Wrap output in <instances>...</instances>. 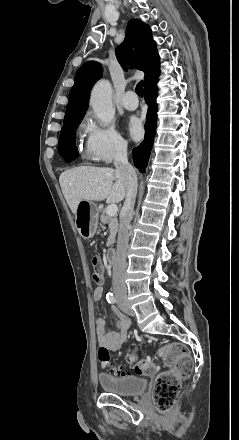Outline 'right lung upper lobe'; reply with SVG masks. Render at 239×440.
<instances>
[{
    "instance_id": "1",
    "label": "right lung upper lobe",
    "mask_w": 239,
    "mask_h": 440,
    "mask_svg": "<svg viewBox=\"0 0 239 440\" xmlns=\"http://www.w3.org/2000/svg\"><path fill=\"white\" fill-rule=\"evenodd\" d=\"M116 56L124 68L128 64L130 68L142 70L145 73L144 82L159 71L160 58L151 29L139 19L128 22L125 40L116 48ZM101 77L102 67L96 61H87L79 68L63 124L85 115L91 88Z\"/></svg>"
}]
</instances>
